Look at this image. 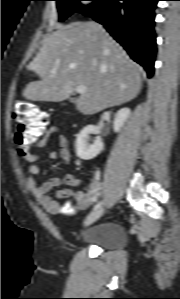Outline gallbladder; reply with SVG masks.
Masks as SVG:
<instances>
[{"instance_id":"1","label":"gallbladder","mask_w":180,"mask_h":299,"mask_svg":"<svg viewBox=\"0 0 180 299\" xmlns=\"http://www.w3.org/2000/svg\"><path fill=\"white\" fill-rule=\"evenodd\" d=\"M75 101H76L75 98H71V99H70V102H72V103H74Z\"/></svg>"}]
</instances>
